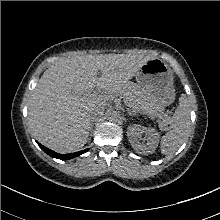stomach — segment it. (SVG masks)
<instances>
[{
	"mask_svg": "<svg viewBox=\"0 0 220 220\" xmlns=\"http://www.w3.org/2000/svg\"><path fill=\"white\" fill-rule=\"evenodd\" d=\"M138 86L143 89L136 108L141 112L170 105L175 100L174 78L170 67L159 58L148 60L135 75Z\"/></svg>",
	"mask_w": 220,
	"mask_h": 220,
	"instance_id": "stomach-1",
	"label": "stomach"
}]
</instances>
